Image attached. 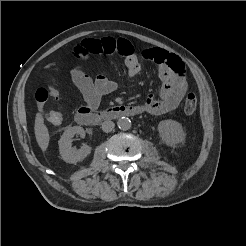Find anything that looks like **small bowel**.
Segmentation results:
<instances>
[{
  "instance_id": "c3829d8e",
  "label": "small bowel",
  "mask_w": 246,
  "mask_h": 246,
  "mask_svg": "<svg viewBox=\"0 0 246 246\" xmlns=\"http://www.w3.org/2000/svg\"><path fill=\"white\" fill-rule=\"evenodd\" d=\"M82 53L87 55L115 54L124 57L129 77L136 76L141 70L140 60L133 45L124 39H87L75 48L73 55L75 58L81 59ZM142 56L157 65L158 75L162 81L159 96L150 95L147 97L145 102L140 105L142 112L158 116L173 111L178 107L187 91L183 61L175 54L160 48L144 50ZM71 78L82 94L86 107L90 109L97 108L102 97L117 88V84L108 77L98 75L92 79L79 67L71 70Z\"/></svg>"
}]
</instances>
